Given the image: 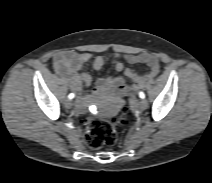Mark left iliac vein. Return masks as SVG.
<instances>
[{
  "mask_svg": "<svg viewBox=\"0 0 212 183\" xmlns=\"http://www.w3.org/2000/svg\"><path fill=\"white\" fill-rule=\"evenodd\" d=\"M139 106H140V108H141L142 110L146 109L147 106H148L147 100H146V99H142V100L140 101V103H139Z\"/></svg>",
  "mask_w": 212,
  "mask_h": 183,
  "instance_id": "4c4485c4",
  "label": "left iliac vein"
}]
</instances>
